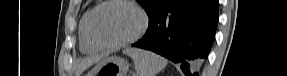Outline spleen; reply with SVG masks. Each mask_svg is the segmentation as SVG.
<instances>
[{
	"label": "spleen",
	"mask_w": 287,
	"mask_h": 76,
	"mask_svg": "<svg viewBox=\"0 0 287 76\" xmlns=\"http://www.w3.org/2000/svg\"><path fill=\"white\" fill-rule=\"evenodd\" d=\"M124 53L133 59L137 76H156L167 65L166 59L151 51L128 48Z\"/></svg>",
	"instance_id": "3e777b00"
}]
</instances>
